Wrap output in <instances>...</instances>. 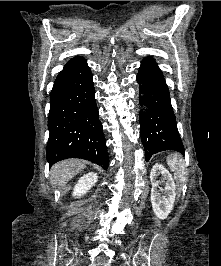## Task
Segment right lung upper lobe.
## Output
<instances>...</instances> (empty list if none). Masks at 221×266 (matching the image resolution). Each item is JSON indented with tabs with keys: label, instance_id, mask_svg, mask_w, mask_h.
<instances>
[{
	"label": "right lung upper lobe",
	"instance_id": "obj_1",
	"mask_svg": "<svg viewBox=\"0 0 221 266\" xmlns=\"http://www.w3.org/2000/svg\"><path fill=\"white\" fill-rule=\"evenodd\" d=\"M83 60H84V58H82V57H75V58L71 59L70 61H68L67 64L64 66V68L76 65V64L82 62Z\"/></svg>",
	"mask_w": 221,
	"mask_h": 266
}]
</instances>
